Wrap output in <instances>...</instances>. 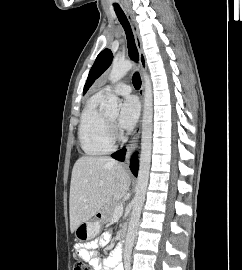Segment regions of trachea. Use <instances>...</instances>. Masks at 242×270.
<instances>
[{
	"mask_svg": "<svg viewBox=\"0 0 242 270\" xmlns=\"http://www.w3.org/2000/svg\"><path fill=\"white\" fill-rule=\"evenodd\" d=\"M116 15L121 23V25L123 26L124 30H125V34H126V38H127V44H128V53H129V57L137 62L139 60V54H138V50L137 47L135 45V40H134V36L130 27V24L126 18V15L124 14V12L122 11V9L118 6L114 7ZM133 85L136 89H140L141 87V78L138 72L133 74Z\"/></svg>",
	"mask_w": 242,
	"mask_h": 270,
	"instance_id": "trachea-1",
	"label": "trachea"
}]
</instances>
